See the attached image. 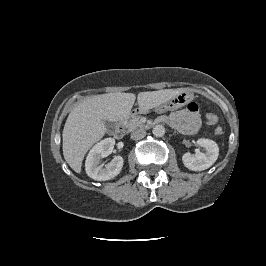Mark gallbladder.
I'll list each match as a JSON object with an SVG mask.
<instances>
[{
	"instance_id": "obj_1",
	"label": "gallbladder",
	"mask_w": 266,
	"mask_h": 266,
	"mask_svg": "<svg viewBox=\"0 0 266 266\" xmlns=\"http://www.w3.org/2000/svg\"><path fill=\"white\" fill-rule=\"evenodd\" d=\"M105 126L110 131H113L115 129V127H116L115 123L107 121V120L105 121Z\"/></svg>"
}]
</instances>
